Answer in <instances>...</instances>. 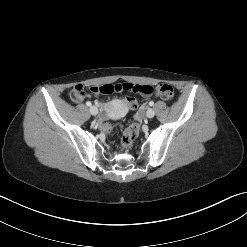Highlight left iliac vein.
<instances>
[{
    "mask_svg": "<svg viewBox=\"0 0 247 247\" xmlns=\"http://www.w3.org/2000/svg\"><path fill=\"white\" fill-rule=\"evenodd\" d=\"M154 115H155L154 110H153L152 108H148L147 111H146V116H147L148 118H153Z\"/></svg>",
    "mask_w": 247,
    "mask_h": 247,
    "instance_id": "left-iliac-vein-1",
    "label": "left iliac vein"
}]
</instances>
